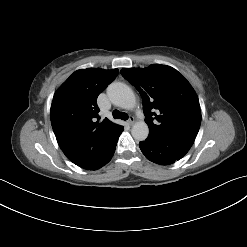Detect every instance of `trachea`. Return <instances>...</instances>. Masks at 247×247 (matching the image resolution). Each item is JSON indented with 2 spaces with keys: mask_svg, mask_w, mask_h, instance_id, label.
Instances as JSON below:
<instances>
[{
  "mask_svg": "<svg viewBox=\"0 0 247 247\" xmlns=\"http://www.w3.org/2000/svg\"><path fill=\"white\" fill-rule=\"evenodd\" d=\"M113 118L114 119H122V120H127L128 119V114L125 112H120L119 110H114L113 111Z\"/></svg>",
  "mask_w": 247,
  "mask_h": 247,
  "instance_id": "trachea-1",
  "label": "trachea"
}]
</instances>
